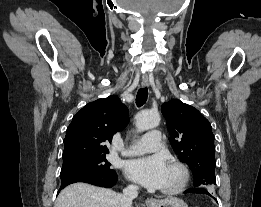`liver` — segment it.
Segmentation results:
<instances>
[{
	"label": "liver",
	"mask_w": 261,
	"mask_h": 207,
	"mask_svg": "<svg viewBox=\"0 0 261 207\" xmlns=\"http://www.w3.org/2000/svg\"><path fill=\"white\" fill-rule=\"evenodd\" d=\"M118 198L111 189L78 182L60 192L55 207H118Z\"/></svg>",
	"instance_id": "liver-1"
}]
</instances>
